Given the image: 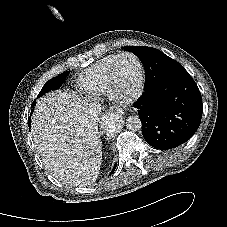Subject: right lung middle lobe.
<instances>
[{
  "instance_id": "1",
  "label": "right lung middle lobe",
  "mask_w": 227,
  "mask_h": 227,
  "mask_svg": "<svg viewBox=\"0 0 227 227\" xmlns=\"http://www.w3.org/2000/svg\"><path fill=\"white\" fill-rule=\"evenodd\" d=\"M68 74H69V71H66V72L50 79L49 81H47L45 83V85L43 86V88L41 89L40 93L38 94L37 98H39L40 96L44 95L45 93H47L51 90L59 89L61 87V85L63 84V82L65 81ZM35 104H36V101L33 102L31 107H34ZM30 124H31V117H30V119H28L29 127H30Z\"/></svg>"
}]
</instances>
